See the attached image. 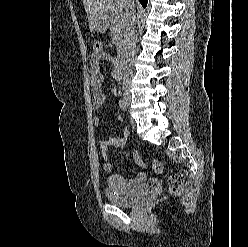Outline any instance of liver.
I'll use <instances>...</instances> for the list:
<instances>
[{
    "label": "liver",
    "instance_id": "1",
    "mask_svg": "<svg viewBox=\"0 0 248 247\" xmlns=\"http://www.w3.org/2000/svg\"><path fill=\"white\" fill-rule=\"evenodd\" d=\"M92 31L99 19L109 10L121 13L125 9L126 0H82Z\"/></svg>",
    "mask_w": 248,
    "mask_h": 247
}]
</instances>
